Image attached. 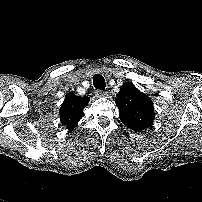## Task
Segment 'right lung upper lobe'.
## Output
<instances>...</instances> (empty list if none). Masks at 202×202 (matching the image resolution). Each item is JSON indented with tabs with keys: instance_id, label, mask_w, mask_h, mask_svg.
Wrapping results in <instances>:
<instances>
[{
	"instance_id": "1",
	"label": "right lung upper lobe",
	"mask_w": 202,
	"mask_h": 202,
	"mask_svg": "<svg viewBox=\"0 0 202 202\" xmlns=\"http://www.w3.org/2000/svg\"><path fill=\"white\" fill-rule=\"evenodd\" d=\"M89 97L76 96L74 93H68L59 110L60 120L67 129L76 127L78 121L83 117V109L87 106Z\"/></svg>"
}]
</instances>
